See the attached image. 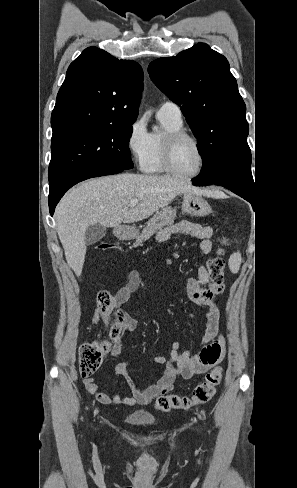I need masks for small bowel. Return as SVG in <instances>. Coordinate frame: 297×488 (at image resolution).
Here are the masks:
<instances>
[{
	"label": "small bowel",
	"instance_id": "1",
	"mask_svg": "<svg viewBox=\"0 0 297 488\" xmlns=\"http://www.w3.org/2000/svg\"><path fill=\"white\" fill-rule=\"evenodd\" d=\"M175 233L186 234L197 239L200 253L208 254L211 251L212 228L189 221H182L163 228L156 235V243L160 244L167 241ZM140 286L148 287L149 284L141 278L138 272H131L125 285L113 297L115 309L124 305ZM223 289L222 284L217 285L210 280L205 266L199 268L196 276L188 278L187 293L189 299L195 304L207 307L202 346L196 353L192 354L190 351L181 352L180 344L173 342L170 346L168 357L155 356L153 358L154 363L163 366L161 376L156 383L145 388L139 386L129 373L131 358H128L114 367V373L125 378L131 395H109L100 392L98 384L92 376L85 377L83 380L86 390L102 404L146 405L152 400L172 391L178 377L190 379L208 371L219 362L223 352V340L218 336L220 314L217 305V298L222 294ZM121 318L122 331L116 338L112 348V354L115 357H118L121 353L124 336L134 331L137 326V320L132 315L122 313ZM93 321L95 324L107 323L108 319L96 313Z\"/></svg>",
	"mask_w": 297,
	"mask_h": 488
}]
</instances>
